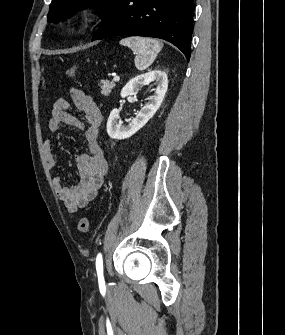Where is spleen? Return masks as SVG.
<instances>
[{"mask_svg":"<svg viewBox=\"0 0 285 335\" xmlns=\"http://www.w3.org/2000/svg\"><path fill=\"white\" fill-rule=\"evenodd\" d=\"M121 46H128L137 56L134 60L137 70H146L153 64L158 52L162 48L159 40L153 38H140V36H132V38H124L120 40Z\"/></svg>","mask_w":285,"mask_h":335,"instance_id":"obj_1","label":"spleen"}]
</instances>
